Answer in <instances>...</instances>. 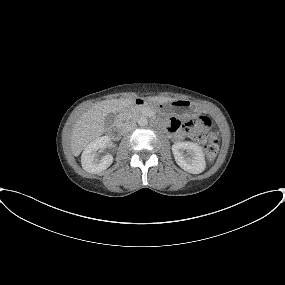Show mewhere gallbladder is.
I'll list each match as a JSON object with an SVG mask.
<instances>
[{
  "label": "gallbladder",
  "instance_id": "1",
  "mask_svg": "<svg viewBox=\"0 0 285 285\" xmlns=\"http://www.w3.org/2000/svg\"><path fill=\"white\" fill-rule=\"evenodd\" d=\"M116 115L114 113H110L105 117V125L111 126L115 121Z\"/></svg>",
  "mask_w": 285,
  "mask_h": 285
}]
</instances>
